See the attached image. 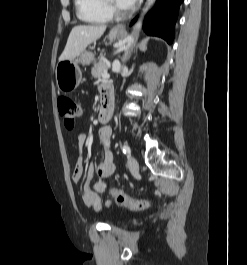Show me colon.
Masks as SVG:
<instances>
[{"label": "colon", "instance_id": "1", "mask_svg": "<svg viewBox=\"0 0 247 265\" xmlns=\"http://www.w3.org/2000/svg\"><path fill=\"white\" fill-rule=\"evenodd\" d=\"M57 106L65 126L69 129L74 128L82 113L81 105L71 98L60 97L57 100ZM109 192L118 205L128 208L132 211H143L150 206L149 200L134 199L124 192L113 188L110 189Z\"/></svg>", "mask_w": 247, "mask_h": 265}]
</instances>
